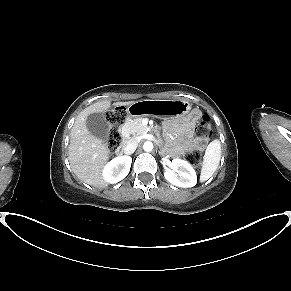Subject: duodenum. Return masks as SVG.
I'll use <instances>...</instances> for the list:
<instances>
[{
  "instance_id": "410a0bca",
  "label": "duodenum",
  "mask_w": 291,
  "mask_h": 291,
  "mask_svg": "<svg viewBox=\"0 0 291 291\" xmlns=\"http://www.w3.org/2000/svg\"><path fill=\"white\" fill-rule=\"evenodd\" d=\"M126 143H127V137H126V135H123V141H122V143L120 144V146H118L116 148V152L118 154H121L123 152V150H125L127 148V144Z\"/></svg>"
}]
</instances>
